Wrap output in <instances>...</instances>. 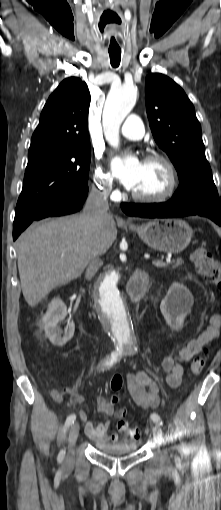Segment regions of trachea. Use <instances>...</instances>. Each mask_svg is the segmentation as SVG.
Segmentation results:
<instances>
[{
  "label": "trachea",
  "mask_w": 221,
  "mask_h": 510,
  "mask_svg": "<svg viewBox=\"0 0 221 510\" xmlns=\"http://www.w3.org/2000/svg\"><path fill=\"white\" fill-rule=\"evenodd\" d=\"M112 67L117 68L121 61V52H109Z\"/></svg>",
  "instance_id": "1"
}]
</instances>
